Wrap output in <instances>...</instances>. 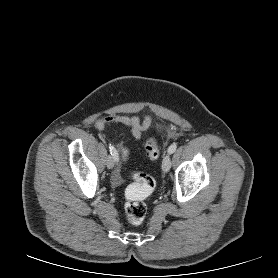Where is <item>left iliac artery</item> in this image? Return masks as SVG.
<instances>
[{
  "mask_svg": "<svg viewBox=\"0 0 278 278\" xmlns=\"http://www.w3.org/2000/svg\"><path fill=\"white\" fill-rule=\"evenodd\" d=\"M176 149H177V143H173V144H171V145L169 146V148H168V153H169V154H172V153H174V152L176 151Z\"/></svg>",
  "mask_w": 278,
  "mask_h": 278,
  "instance_id": "44dca946",
  "label": "left iliac artery"
}]
</instances>
